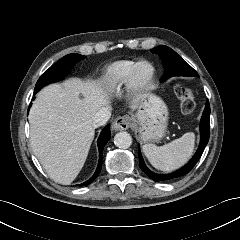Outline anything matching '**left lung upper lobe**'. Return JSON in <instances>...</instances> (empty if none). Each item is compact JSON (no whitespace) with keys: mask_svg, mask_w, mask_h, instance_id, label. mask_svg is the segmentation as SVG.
Wrapping results in <instances>:
<instances>
[{"mask_svg":"<svg viewBox=\"0 0 240 240\" xmlns=\"http://www.w3.org/2000/svg\"><path fill=\"white\" fill-rule=\"evenodd\" d=\"M151 52L158 54L163 60L166 73L161 78V81L166 79L168 73L172 75L198 76L197 72L171 48L160 45L152 49Z\"/></svg>","mask_w":240,"mask_h":240,"instance_id":"obj_1","label":"left lung upper lobe"}]
</instances>
